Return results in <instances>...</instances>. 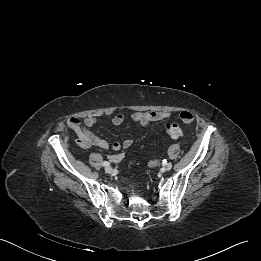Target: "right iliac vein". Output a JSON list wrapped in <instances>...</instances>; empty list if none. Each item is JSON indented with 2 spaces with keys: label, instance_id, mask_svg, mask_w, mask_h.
Here are the masks:
<instances>
[{
  "label": "right iliac vein",
  "instance_id": "obj_1",
  "mask_svg": "<svg viewBox=\"0 0 261 261\" xmlns=\"http://www.w3.org/2000/svg\"><path fill=\"white\" fill-rule=\"evenodd\" d=\"M112 171H113V169H112V167H110V166H107V167L105 168V172L108 173V174L112 173Z\"/></svg>",
  "mask_w": 261,
  "mask_h": 261
}]
</instances>
